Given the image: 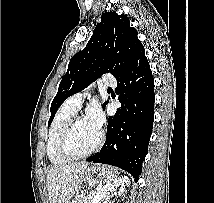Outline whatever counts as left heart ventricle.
I'll list each match as a JSON object with an SVG mask.
<instances>
[{"mask_svg": "<svg viewBox=\"0 0 214 203\" xmlns=\"http://www.w3.org/2000/svg\"><path fill=\"white\" fill-rule=\"evenodd\" d=\"M98 136L99 130L83 118L75 125L70 139V148L76 153L85 152L96 143Z\"/></svg>", "mask_w": 214, "mask_h": 203, "instance_id": "obj_1", "label": "left heart ventricle"}]
</instances>
